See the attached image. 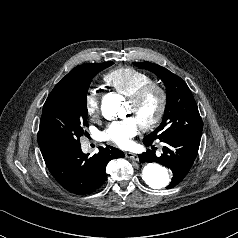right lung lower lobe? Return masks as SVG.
Wrapping results in <instances>:
<instances>
[{
    "instance_id": "1",
    "label": "right lung lower lobe",
    "mask_w": 238,
    "mask_h": 238,
    "mask_svg": "<svg viewBox=\"0 0 238 238\" xmlns=\"http://www.w3.org/2000/svg\"><path fill=\"white\" fill-rule=\"evenodd\" d=\"M81 146L62 151L45 160L55 180L67 191L86 195L99 189L106 180V165L124 153L112 146L100 147L99 152L88 157Z\"/></svg>"
}]
</instances>
